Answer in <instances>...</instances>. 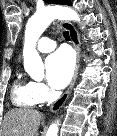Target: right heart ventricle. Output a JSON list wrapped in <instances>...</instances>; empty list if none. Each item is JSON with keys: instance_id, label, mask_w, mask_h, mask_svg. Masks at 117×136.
I'll return each instance as SVG.
<instances>
[{"instance_id": "1", "label": "right heart ventricle", "mask_w": 117, "mask_h": 136, "mask_svg": "<svg viewBox=\"0 0 117 136\" xmlns=\"http://www.w3.org/2000/svg\"><path fill=\"white\" fill-rule=\"evenodd\" d=\"M12 101L18 107L31 108L39 104L34 82L17 78L12 86Z\"/></svg>"}]
</instances>
